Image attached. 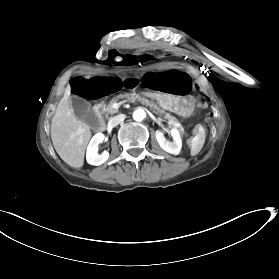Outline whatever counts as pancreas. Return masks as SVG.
Segmentation results:
<instances>
[{"label": "pancreas", "mask_w": 279, "mask_h": 279, "mask_svg": "<svg viewBox=\"0 0 279 279\" xmlns=\"http://www.w3.org/2000/svg\"><path fill=\"white\" fill-rule=\"evenodd\" d=\"M123 98H126L128 100L133 99L135 102H139L143 107L149 108L156 115H159V117L163 120L169 121L170 119H174V114H168L167 111H163V109L158 108L155 104H153L149 100L141 98V96L136 95L134 93L117 95L116 97L112 98L111 101L105 106L104 111L108 114L117 113L118 111L113 108V104L118 102L119 99H123Z\"/></svg>", "instance_id": "obj_1"}]
</instances>
